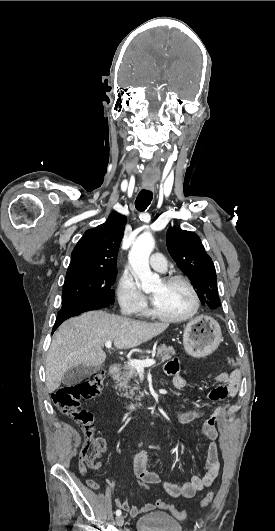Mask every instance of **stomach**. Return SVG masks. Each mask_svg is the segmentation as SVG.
Here are the masks:
<instances>
[{"mask_svg":"<svg viewBox=\"0 0 275 531\" xmlns=\"http://www.w3.org/2000/svg\"><path fill=\"white\" fill-rule=\"evenodd\" d=\"M223 341L219 323L211 317H195L187 323L183 335V345L191 357H207L218 349Z\"/></svg>","mask_w":275,"mask_h":531,"instance_id":"0dacf381","label":"stomach"}]
</instances>
